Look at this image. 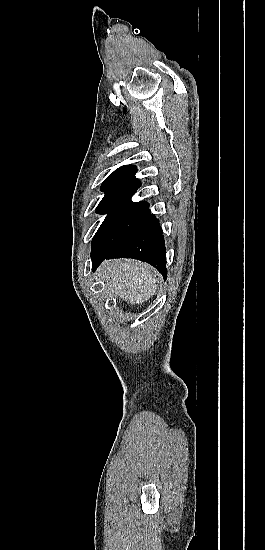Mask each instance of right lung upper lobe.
Here are the masks:
<instances>
[{
  "mask_svg": "<svg viewBox=\"0 0 265 550\" xmlns=\"http://www.w3.org/2000/svg\"><path fill=\"white\" fill-rule=\"evenodd\" d=\"M137 168L134 165H124L116 169L101 185L105 194L127 189H138L141 182L135 177Z\"/></svg>",
  "mask_w": 265,
  "mask_h": 550,
  "instance_id": "obj_1",
  "label": "right lung upper lobe"
}]
</instances>
